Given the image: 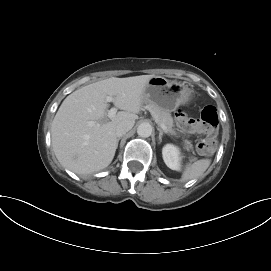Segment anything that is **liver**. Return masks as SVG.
Masks as SVG:
<instances>
[{"label": "liver", "instance_id": "1", "mask_svg": "<svg viewBox=\"0 0 271 271\" xmlns=\"http://www.w3.org/2000/svg\"><path fill=\"white\" fill-rule=\"evenodd\" d=\"M154 75L111 77L81 87L68 95L51 126L52 147L60 164L76 174L101 171L112 162L117 149L116 127L138 118L145 86ZM107 96L121 109L106 119ZM95 124L89 126L88 122Z\"/></svg>", "mask_w": 271, "mask_h": 271}]
</instances>
